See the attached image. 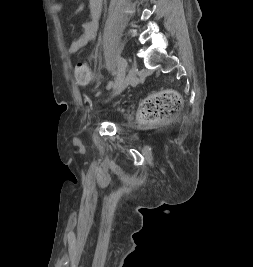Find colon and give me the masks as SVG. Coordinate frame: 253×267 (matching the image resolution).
I'll return each instance as SVG.
<instances>
[{"mask_svg":"<svg viewBox=\"0 0 253 267\" xmlns=\"http://www.w3.org/2000/svg\"><path fill=\"white\" fill-rule=\"evenodd\" d=\"M90 70L86 64H78L75 78L78 83L90 80ZM182 108V98L175 90H165L147 97L141 105V115L145 120H162L176 115Z\"/></svg>","mask_w":253,"mask_h":267,"instance_id":"1","label":"colon"}]
</instances>
